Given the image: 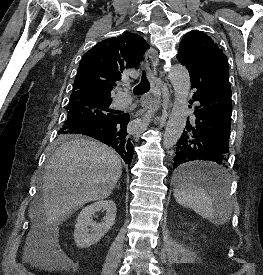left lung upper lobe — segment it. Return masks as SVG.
I'll use <instances>...</instances> for the list:
<instances>
[{"label":"left lung upper lobe","instance_id":"1","mask_svg":"<svg viewBox=\"0 0 263 275\" xmlns=\"http://www.w3.org/2000/svg\"><path fill=\"white\" fill-rule=\"evenodd\" d=\"M177 59L188 68L189 73L201 77L229 74L227 57L205 33L192 30L182 39Z\"/></svg>","mask_w":263,"mask_h":275}]
</instances>
